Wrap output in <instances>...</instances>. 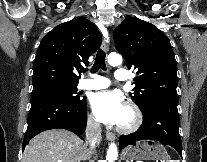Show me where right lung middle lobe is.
I'll return each mask as SVG.
<instances>
[{"label": "right lung middle lobe", "mask_w": 207, "mask_h": 162, "mask_svg": "<svg viewBox=\"0 0 207 162\" xmlns=\"http://www.w3.org/2000/svg\"><path fill=\"white\" fill-rule=\"evenodd\" d=\"M43 95H57L72 103H79L85 100L81 99L77 93V85L70 84H49L34 87L31 98Z\"/></svg>", "instance_id": "1"}]
</instances>
